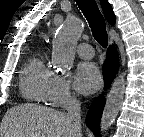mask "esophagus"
<instances>
[{
  "instance_id": "esophagus-1",
  "label": "esophagus",
  "mask_w": 144,
  "mask_h": 137,
  "mask_svg": "<svg viewBox=\"0 0 144 137\" xmlns=\"http://www.w3.org/2000/svg\"><path fill=\"white\" fill-rule=\"evenodd\" d=\"M109 42H110V44H112V43H113V39H112V38H110V41H109Z\"/></svg>"
}]
</instances>
